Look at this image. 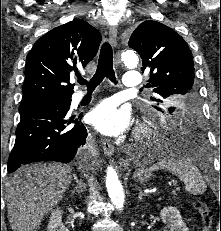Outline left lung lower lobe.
<instances>
[{
  "mask_svg": "<svg viewBox=\"0 0 221 231\" xmlns=\"http://www.w3.org/2000/svg\"><path fill=\"white\" fill-rule=\"evenodd\" d=\"M182 133L175 131L170 134L171 140L182 149L187 151L196 152L202 154L204 152L203 142L204 133L201 128V120L198 115H193L189 118V124Z\"/></svg>",
  "mask_w": 221,
  "mask_h": 231,
  "instance_id": "left-lung-lower-lobe-1",
  "label": "left lung lower lobe"
}]
</instances>
